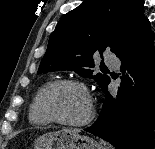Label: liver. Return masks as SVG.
I'll use <instances>...</instances> for the list:
<instances>
[{"label":"liver","mask_w":155,"mask_h":149,"mask_svg":"<svg viewBox=\"0 0 155 149\" xmlns=\"http://www.w3.org/2000/svg\"><path fill=\"white\" fill-rule=\"evenodd\" d=\"M63 131L72 132V133H79L80 132L79 129H64Z\"/></svg>","instance_id":"liver-1"}]
</instances>
